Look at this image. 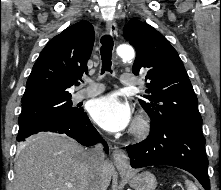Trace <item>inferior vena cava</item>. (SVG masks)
I'll list each match as a JSON object with an SVG mask.
<instances>
[{"instance_id": "obj_1", "label": "inferior vena cava", "mask_w": 221, "mask_h": 190, "mask_svg": "<svg viewBox=\"0 0 221 190\" xmlns=\"http://www.w3.org/2000/svg\"><path fill=\"white\" fill-rule=\"evenodd\" d=\"M88 162L96 174V178L90 183L89 190H102L99 178L105 165V153L101 144H97L87 152Z\"/></svg>"}]
</instances>
